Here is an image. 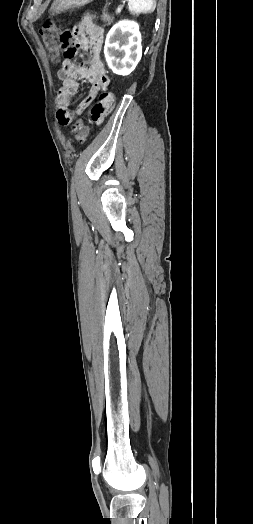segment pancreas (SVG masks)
Listing matches in <instances>:
<instances>
[{
    "instance_id": "pancreas-1",
    "label": "pancreas",
    "mask_w": 253,
    "mask_h": 524,
    "mask_svg": "<svg viewBox=\"0 0 253 524\" xmlns=\"http://www.w3.org/2000/svg\"><path fill=\"white\" fill-rule=\"evenodd\" d=\"M102 21L107 23V25H110V23L112 22V18L109 15L104 13L102 15Z\"/></svg>"
}]
</instances>
